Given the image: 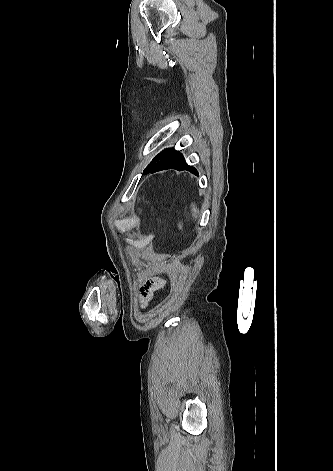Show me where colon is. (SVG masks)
Returning a JSON list of instances; mask_svg holds the SVG:
<instances>
[{
  "label": "colon",
  "mask_w": 333,
  "mask_h": 471,
  "mask_svg": "<svg viewBox=\"0 0 333 471\" xmlns=\"http://www.w3.org/2000/svg\"><path fill=\"white\" fill-rule=\"evenodd\" d=\"M177 229L178 231L182 230V222L179 219H177Z\"/></svg>",
  "instance_id": "colon-1"
}]
</instances>
